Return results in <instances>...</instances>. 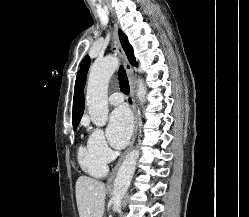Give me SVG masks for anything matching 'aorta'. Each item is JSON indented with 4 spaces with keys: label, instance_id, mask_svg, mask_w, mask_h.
<instances>
[{
    "label": "aorta",
    "instance_id": "762f6f07",
    "mask_svg": "<svg viewBox=\"0 0 249 217\" xmlns=\"http://www.w3.org/2000/svg\"><path fill=\"white\" fill-rule=\"evenodd\" d=\"M117 67V58L107 57L103 60L96 61L89 73L86 104L91 121L99 127L104 126L108 119V83ZM145 95L146 87L142 80H138L137 97L141 104L145 102ZM138 157L139 150L135 148L126 156L117 172L112 197V208L115 212L121 208L122 199L129 188L135 172Z\"/></svg>",
    "mask_w": 249,
    "mask_h": 217
}]
</instances>
